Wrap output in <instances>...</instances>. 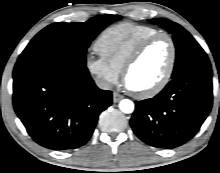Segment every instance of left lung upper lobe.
I'll use <instances>...</instances> for the list:
<instances>
[{"label": "left lung upper lobe", "instance_id": "1", "mask_svg": "<svg viewBox=\"0 0 220 173\" xmlns=\"http://www.w3.org/2000/svg\"><path fill=\"white\" fill-rule=\"evenodd\" d=\"M149 22L165 28L173 35L176 47V60L172 79L186 72L211 68L205 51L182 26L162 18L150 19Z\"/></svg>", "mask_w": 220, "mask_h": 173}]
</instances>
